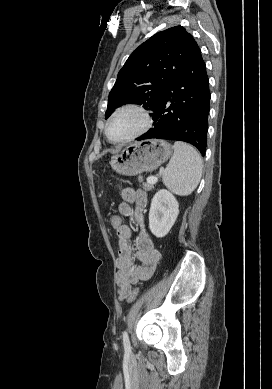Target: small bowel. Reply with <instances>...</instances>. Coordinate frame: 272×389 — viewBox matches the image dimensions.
Returning <instances> with one entry per match:
<instances>
[{
	"label": "small bowel",
	"mask_w": 272,
	"mask_h": 389,
	"mask_svg": "<svg viewBox=\"0 0 272 389\" xmlns=\"http://www.w3.org/2000/svg\"><path fill=\"white\" fill-rule=\"evenodd\" d=\"M121 196L123 202L118 207L119 215L132 218L138 227L134 242L131 241V226L122 224L116 231L119 244L116 284L119 298L125 299L133 285L152 276L161 254L145 229L143 212L147 204V194L142 190L126 187L121 191ZM136 260L141 264L137 265Z\"/></svg>",
	"instance_id": "c3829d8e"
}]
</instances>
